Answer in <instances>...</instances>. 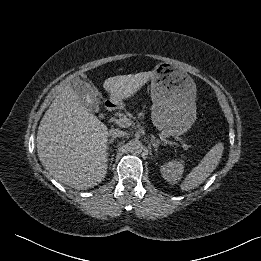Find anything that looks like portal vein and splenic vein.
I'll return each instance as SVG.
<instances>
[{
	"label": "portal vein and splenic vein",
	"mask_w": 261,
	"mask_h": 261,
	"mask_svg": "<svg viewBox=\"0 0 261 261\" xmlns=\"http://www.w3.org/2000/svg\"><path fill=\"white\" fill-rule=\"evenodd\" d=\"M115 123L117 125H119L120 127H129V126H131L132 121L129 120L128 118L124 117V118L116 119ZM180 145L185 150H188L190 148V146L187 145L186 143H184L183 141H180Z\"/></svg>",
	"instance_id": "obj_1"
}]
</instances>
